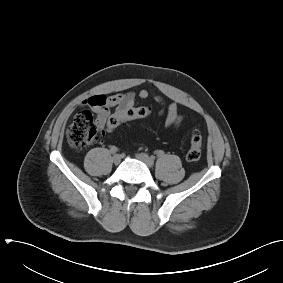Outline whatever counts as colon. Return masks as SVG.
Wrapping results in <instances>:
<instances>
[{
    "label": "colon",
    "mask_w": 283,
    "mask_h": 283,
    "mask_svg": "<svg viewBox=\"0 0 283 283\" xmlns=\"http://www.w3.org/2000/svg\"><path fill=\"white\" fill-rule=\"evenodd\" d=\"M151 114V109L145 106H134L121 112L112 114L103 129V132H111L126 120L145 118ZM98 128L93 115L87 111H81L74 117L67 127L66 138L68 144L75 149L84 148L93 143L97 138ZM202 156V136L198 130L191 134L190 147L187 152L189 161H198Z\"/></svg>",
    "instance_id": "1"
}]
</instances>
